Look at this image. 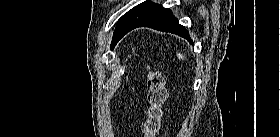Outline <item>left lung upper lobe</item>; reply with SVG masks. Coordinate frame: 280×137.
<instances>
[{
    "label": "left lung upper lobe",
    "mask_w": 280,
    "mask_h": 137,
    "mask_svg": "<svg viewBox=\"0 0 280 137\" xmlns=\"http://www.w3.org/2000/svg\"><path fill=\"white\" fill-rule=\"evenodd\" d=\"M158 4H155L149 0L133 7L127 13H125L116 25L114 35L111 42V49L118 43V41L124 36L125 32L135 23L140 21L144 16L151 12Z\"/></svg>",
    "instance_id": "5c2ea615"
}]
</instances>
